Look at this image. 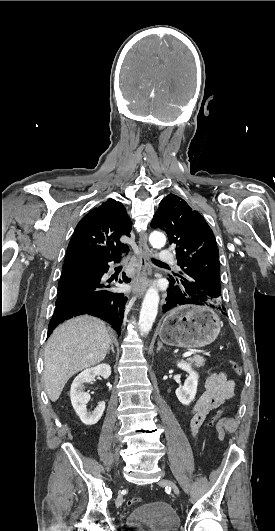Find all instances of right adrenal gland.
Instances as JSON below:
<instances>
[{
    "label": "right adrenal gland",
    "instance_id": "2a0ac1e0",
    "mask_svg": "<svg viewBox=\"0 0 275 531\" xmlns=\"http://www.w3.org/2000/svg\"><path fill=\"white\" fill-rule=\"evenodd\" d=\"M110 351H112V353H115V351H114L113 341H111V347H110V349H109L107 355H109Z\"/></svg>",
    "mask_w": 275,
    "mask_h": 531
}]
</instances>
